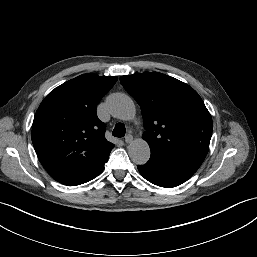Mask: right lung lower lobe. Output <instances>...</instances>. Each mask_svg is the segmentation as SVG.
Wrapping results in <instances>:
<instances>
[{
  "label": "right lung lower lobe",
  "mask_w": 257,
  "mask_h": 257,
  "mask_svg": "<svg viewBox=\"0 0 257 257\" xmlns=\"http://www.w3.org/2000/svg\"><path fill=\"white\" fill-rule=\"evenodd\" d=\"M107 160H106V162H107ZM106 162H104L98 169H96L93 172L89 173L83 179L78 180V181H73V182H67V183H63V184L68 185V186H75V185H80V184H83V183H86V182L92 180L93 178H95L96 176H98L102 172V170L104 169V164Z\"/></svg>",
  "instance_id": "obj_1"
}]
</instances>
